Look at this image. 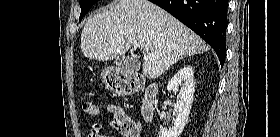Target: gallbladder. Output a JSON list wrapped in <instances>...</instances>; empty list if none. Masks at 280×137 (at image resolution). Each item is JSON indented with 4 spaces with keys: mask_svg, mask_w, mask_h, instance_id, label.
<instances>
[{
    "mask_svg": "<svg viewBox=\"0 0 280 137\" xmlns=\"http://www.w3.org/2000/svg\"><path fill=\"white\" fill-rule=\"evenodd\" d=\"M116 68L133 73L139 69V63L131 57H118L114 60Z\"/></svg>",
    "mask_w": 280,
    "mask_h": 137,
    "instance_id": "gallbladder-1",
    "label": "gallbladder"
}]
</instances>
